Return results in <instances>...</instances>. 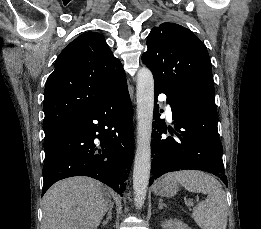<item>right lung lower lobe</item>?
Instances as JSON below:
<instances>
[{"mask_svg":"<svg viewBox=\"0 0 261 229\" xmlns=\"http://www.w3.org/2000/svg\"><path fill=\"white\" fill-rule=\"evenodd\" d=\"M96 138L100 142H94ZM133 148L132 105L125 84L87 114L45 138L42 195L61 179L89 176L123 196Z\"/></svg>","mask_w":261,"mask_h":229,"instance_id":"1","label":"right lung lower lobe"}]
</instances>
